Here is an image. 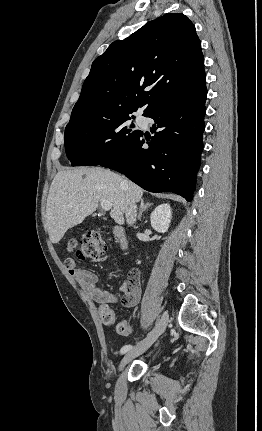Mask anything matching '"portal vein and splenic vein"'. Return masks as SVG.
Here are the masks:
<instances>
[{"instance_id": "portal-vein-and-splenic-vein-1", "label": "portal vein and splenic vein", "mask_w": 262, "mask_h": 431, "mask_svg": "<svg viewBox=\"0 0 262 431\" xmlns=\"http://www.w3.org/2000/svg\"><path fill=\"white\" fill-rule=\"evenodd\" d=\"M101 207L104 211H109L112 208V203L105 199H100Z\"/></svg>"}]
</instances>
